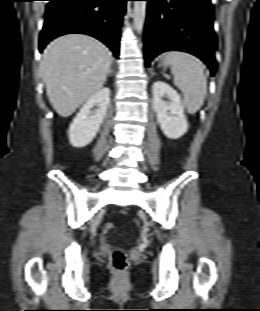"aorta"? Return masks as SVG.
Returning <instances> with one entry per match:
<instances>
[{
    "label": "aorta",
    "instance_id": "obj_1",
    "mask_svg": "<svg viewBox=\"0 0 260 311\" xmlns=\"http://www.w3.org/2000/svg\"><path fill=\"white\" fill-rule=\"evenodd\" d=\"M146 1H134V26L138 33L143 30L146 17Z\"/></svg>",
    "mask_w": 260,
    "mask_h": 311
}]
</instances>
